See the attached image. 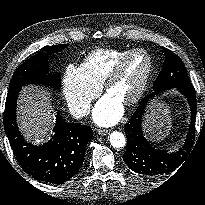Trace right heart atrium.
<instances>
[{"instance_id": "d8ad5b80", "label": "right heart atrium", "mask_w": 205, "mask_h": 205, "mask_svg": "<svg viewBox=\"0 0 205 205\" xmlns=\"http://www.w3.org/2000/svg\"><path fill=\"white\" fill-rule=\"evenodd\" d=\"M100 86L85 77L78 66L69 65L62 80V92L69 111L81 118L88 114L92 100L98 95Z\"/></svg>"}]
</instances>
